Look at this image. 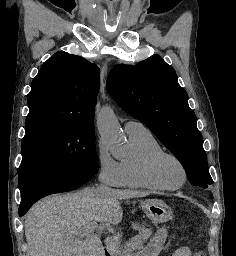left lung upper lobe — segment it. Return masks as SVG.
Segmentation results:
<instances>
[{
    "mask_svg": "<svg viewBox=\"0 0 236 256\" xmlns=\"http://www.w3.org/2000/svg\"><path fill=\"white\" fill-rule=\"evenodd\" d=\"M107 90L178 158L192 185L212 184L196 116L172 66L158 57L135 66L117 65L108 76Z\"/></svg>",
    "mask_w": 236,
    "mask_h": 256,
    "instance_id": "1",
    "label": "left lung upper lobe"
}]
</instances>
